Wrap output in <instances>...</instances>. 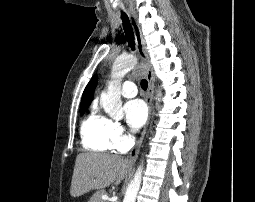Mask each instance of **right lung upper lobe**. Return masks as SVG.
I'll return each mask as SVG.
<instances>
[{"mask_svg":"<svg viewBox=\"0 0 255 202\" xmlns=\"http://www.w3.org/2000/svg\"><path fill=\"white\" fill-rule=\"evenodd\" d=\"M97 76H93L92 79L90 80V82L87 84L83 95H82V100H81V105H88L91 103L92 101V97H93V91L95 89V86L97 85Z\"/></svg>","mask_w":255,"mask_h":202,"instance_id":"1","label":"right lung upper lobe"}]
</instances>
